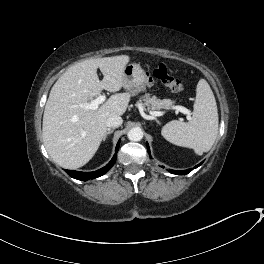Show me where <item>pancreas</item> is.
I'll return each instance as SVG.
<instances>
[{"instance_id":"pancreas-1","label":"pancreas","mask_w":264,"mask_h":264,"mask_svg":"<svg viewBox=\"0 0 264 264\" xmlns=\"http://www.w3.org/2000/svg\"><path fill=\"white\" fill-rule=\"evenodd\" d=\"M140 101H144L143 105L148 110L168 109L174 104L170 99L161 100L156 96L151 97L150 95H145Z\"/></svg>"}]
</instances>
